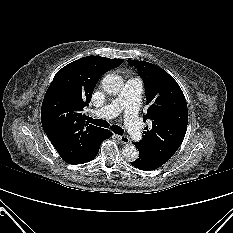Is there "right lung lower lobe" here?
Segmentation results:
<instances>
[{"mask_svg":"<svg viewBox=\"0 0 233 233\" xmlns=\"http://www.w3.org/2000/svg\"><path fill=\"white\" fill-rule=\"evenodd\" d=\"M111 136H112V132H110L109 130L103 129L100 132L98 140L85 152V154L82 157H80L78 160L70 164H83V163L89 162L92 159H94L98 154L101 143L104 140L110 138Z\"/></svg>","mask_w":233,"mask_h":233,"instance_id":"obj_1","label":"right lung lower lobe"}]
</instances>
